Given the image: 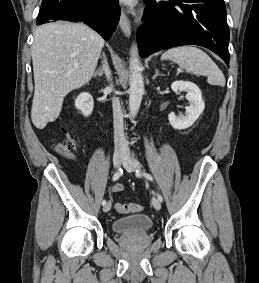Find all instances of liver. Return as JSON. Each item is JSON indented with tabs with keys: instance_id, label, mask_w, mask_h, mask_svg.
I'll return each mask as SVG.
<instances>
[{
	"instance_id": "liver-1",
	"label": "liver",
	"mask_w": 259,
	"mask_h": 283,
	"mask_svg": "<svg viewBox=\"0 0 259 283\" xmlns=\"http://www.w3.org/2000/svg\"><path fill=\"white\" fill-rule=\"evenodd\" d=\"M103 47V38L83 23L38 27L31 48L35 83L31 120L38 129L58 118L70 91L91 80Z\"/></svg>"
}]
</instances>
